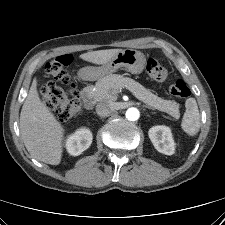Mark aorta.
<instances>
[{
	"label": "aorta",
	"instance_id": "762f6f07",
	"mask_svg": "<svg viewBox=\"0 0 225 225\" xmlns=\"http://www.w3.org/2000/svg\"><path fill=\"white\" fill-rule=\"evenodd\" d=\"M125 116H126L127 120H129V121H136L140 117V112L137 108L131 107V108L127 109Z\"/></svg>",
	"mask_w": 225,
	"mask_h": 225
}]
</instances>
